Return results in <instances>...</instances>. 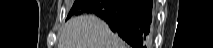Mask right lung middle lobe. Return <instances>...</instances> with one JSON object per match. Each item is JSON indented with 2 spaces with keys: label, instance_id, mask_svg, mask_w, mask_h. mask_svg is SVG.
I'll return each mask as SVG.
<instances>
[{
  "label": "right lung middle lobe",
  "instance_id": "right-lung-middle-lobe-1",
  "mask_svg": "<svg viewBox=\"0 0 213 48\" xmlns=\"http://www.w3.org/2000/svg\"><path fill=\"white\" fill-rule=\"evenodd\" d=\"M87 2V0H75L68 16L67 19H69L72 15H79V12L81 10V8L83 7V5Z\"/></svg>",
  "mask_w": 213,
  "mask_h": 48
}]
</instances>
